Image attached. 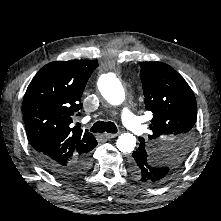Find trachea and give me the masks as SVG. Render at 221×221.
<instances>
[{
	"label": "trachea",
	"instance_id": "obj_1",
	"mask_svg": "<svg viewBox=\"0 0 221 221\" xmlns=\"http://www.w3.org/2000/svg\"><path fill=\"white\" fill-rule=\"evenodd\" d=\"M90 130L94 133H103L105 131L108 133H116L117 127L113 122L110 121H97Z\"/></svg>",
	"mask_w": 221,
	"mask_h": 221
}]
</instances>
